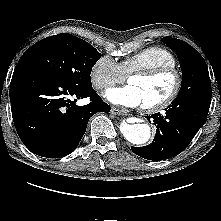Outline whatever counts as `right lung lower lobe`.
I'll return each mask as SVG.
<instances>
[{
    "label": "right lung lower lobe",
    "instance_id": "1",
    "mask_svg": "<svg viewBox=\"0 0 221 221\" xmlns=\"http://www.w3.org/2000/svg\"><path fill=\"white\" fill-rule=\"evenodd\" d=\"M9 95L21 141L32 153L48 158L70 154L85 134L89 118L110 111L92 87L67 84L29 65H16ZM86 97L91 100L88 105L75 104Z\"/></svg>",
    "mask_w": 221,
    "mask_h": 221
}]
</instances>
